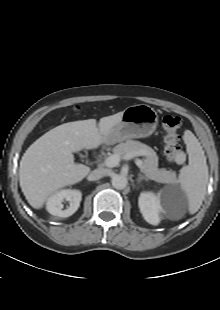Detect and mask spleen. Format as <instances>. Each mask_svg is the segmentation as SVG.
I'll list each match as a JSON object with an SVG mask.
<instances>
[{
    "mask_svg": "<svg viewBox=\"0 0 220 310\" xmlns=\"http://www.w3.org/2000/svg\"><path fill=\"white\" fill-rule=\"evenodd\" d=\"M189 164L180 170L178 182L188 199L190 214H195L204 199L208 183V166L206 157L198 139L186 130L184 132Z\"/></svg>",
    "mask_w": 220,
    "mask_h": 310,
    "instance_id": "obj_1",
    "label": "spleen"
}]
</instances>
